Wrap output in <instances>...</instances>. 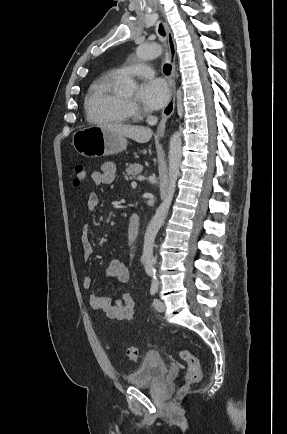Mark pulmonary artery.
I'll return each mask as SVG.
<instances>
[{"label":"pulmonary artery","mask_w":287,"mask_h":434,"mask_svg":"<svg viewBox=\"0 0 287 434\" xmlns=\"http://www.w3.org/2000/svg\"><path fill=\"white\" fill-rule=\"evenodd\" d=\"M118 71L123 77L135 76L140 78H149L154 75V71L152 70V68L145 63L124 66L121 67Z\"/></svg>","instance_id":"e3ab8cb5"}]
</instances>
